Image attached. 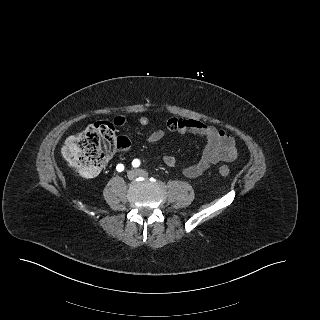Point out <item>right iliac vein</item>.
<instances>
[{"instance_id":"right-iliac-vein-1","label":"right iliac vein","mask_w":320,"mask_h":320,"mask_svg":"<svg viewBox=\"0 0 320 320\" xmlns=\"http://www.w3.org/2000/svg\"><path fill=\"white\" fill-rule=\"evenodd\" d=\"M127 177L129 180H134L137 177V173L134 170L127 172Z\"/></svg>"}]
</instances>
